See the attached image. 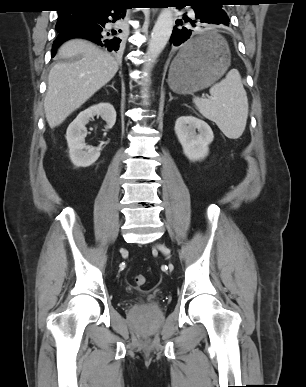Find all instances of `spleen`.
I'll use <instances>...</instances> for the list:
<instances>
[{
  "instance_id": "3e777b00",
  "label": "spleen",
  "mask_w": 306,
  "mask_h": 387,
  "mask_svg": "<svg viewBox=\"0 0 306 387\" xmlns=\"http://www.w3.org/2000/svg\"><path fill=\"white\" fill-rule=\"evenodd\" d=\"M211 99L194 97L199 112L216 123L230 139L239 138L245 130L248 117V99L241 77L236 69L210 88Z\"/></svg>"
}]
</instances>
